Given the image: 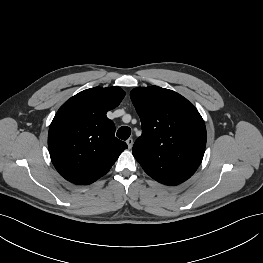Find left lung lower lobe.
Wrapping results in <instances>:
<instances>
[{
    "instance_id": "left-lung-lower-lobe-1",
    "label": "left lung lower lobe",
    "mask_w": 263,
    "mask_h": 263,
    "mask_svg": "<svg viewBox=\"0 0 263 263\" xmlns=\"http://www.w3.org/2000/svg\"><path fill=\"white\" fill-rule=\"evenodd\" d=\"M191 176L192 174L188 172L169 166L163 168L153 179L166 185H178Z\"/></svg>"
}]
</instances>
